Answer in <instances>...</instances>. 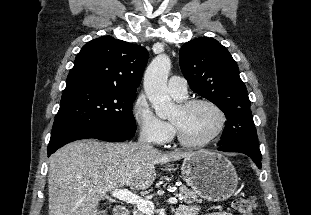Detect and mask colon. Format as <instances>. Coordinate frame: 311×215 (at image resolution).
<instances>
[{
	"mask_svg": "<svg viewBox=\"0 0 311 215\" xmlns=\"http://www.w3.org/2000/svg\"><path fill=\"white\" fill-rule=\"evenodd\" d=\"M233 208L239 215H253L256 202L253 198H237L233 202Z\"/></svg>",
	"mask_w": 311,
	"mask_h": 215,
	"instance_id": "5ec220e1",
	"label": "colon"
}]
</instances>
